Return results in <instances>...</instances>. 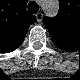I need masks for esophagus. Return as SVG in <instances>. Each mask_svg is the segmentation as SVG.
Returning <instances> with one entry per match:
<instances>
[{
	"instance_id": "34e87169",
	"label": "esophagus",
	"mask_w": 80,
	"mask_h": 80,
	"mask_svg": "<svg viewBox=\"0 0 80 80\" xmlns=\"http://www.w3.org/2000/svg\"><path fill=\"white\" fill-rule=\"evenodd\" d=\"M35 16L38 22H40L43 18V14L41 12H38Z\"/></svg>"
}]
</instances>
